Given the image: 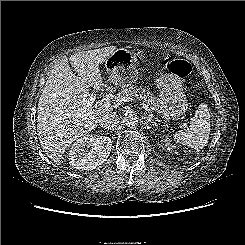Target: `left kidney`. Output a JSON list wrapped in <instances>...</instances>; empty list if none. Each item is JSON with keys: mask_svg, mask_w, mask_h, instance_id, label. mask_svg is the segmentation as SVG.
Listing matches in <instances>:
<instances>
[{"mask_svg": "<svg viewBox=\"0 0 245 245\" xmlns=\"http://www.w3.org/2000/svg\"><path fill=\"white\" fill-rule=\"evenodd\" d=\"M164 142H165V145L166 146H169L170 145L168 138L164 139Z\"/></svg>", "mask_w": 245, "mask_h": 245, "instance_id": "5707ae66", "label": "left kidney"}]
</instances>
